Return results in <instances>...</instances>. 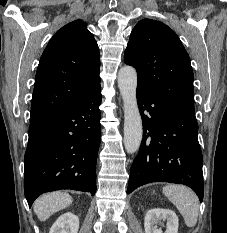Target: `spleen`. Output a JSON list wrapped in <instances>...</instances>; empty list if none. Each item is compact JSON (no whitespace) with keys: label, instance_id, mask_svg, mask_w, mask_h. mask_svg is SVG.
Wrapping results in <instances>:
<instances>
[{"label":"spleen","instance_id":"obj_1","mask_svg":"<svg viewBox=\"0 0 227 233\" xmlns=\"http://www.w3.org/2000/svg\"><path fill=\"white\" fill-rule=\"evenodd\" d=\"M163 194L176 206L188 227H194L198 220L199 200L196 194L186 186L168 184Z\"/></svg>","mask_w":227,"mask_h":233}]
</instances>
